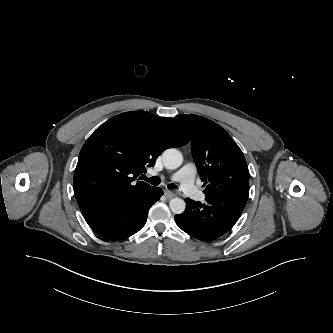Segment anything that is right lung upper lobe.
<instances>
[{"label":"right lung upper lobe","instance_id":"right-lung-upper-lobe-1","mask_svg":"<svg viewBox=\"0 0 333 333\" xmlns=\"http://www.w3.org/2000/svg\"><path fill=\"white\" fill-rule=\"evenodd\" d=\"M190 141L176 119L147 111L119 114L97 128L83 145L74 172L78 206L99 202H128L153 187L136 182L161 152ZM140 179V178H139Z\"/></svg>","mask_w":333,"mask_h":333}]
</instances>
